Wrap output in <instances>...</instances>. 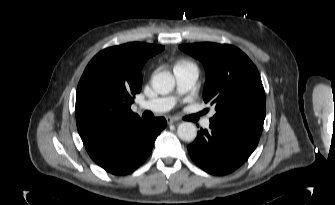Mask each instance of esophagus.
Instances as JSON below:
<instances>
[{
  "mask_svg": "<svg viewBox=\"0 0 335 205\" xmlns=\"http://www.w3.org/2000/svg\"><path fill=\"white\" fill-rule=\"evenodd\" d=\"M168 124L176 123L178 120L174 117H167L166 118Z\"/></svg>",
  "mask_w": 335,
  "mask_h": 205,
  "instance_id": "obj_1",
  "label": "esophagus"
}]
</instances>
